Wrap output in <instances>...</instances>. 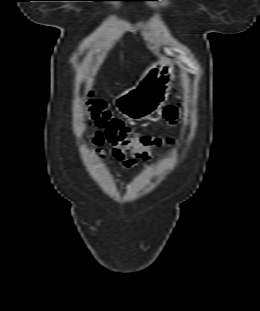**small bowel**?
<instances>
[{
	"mask_svg": "<svg viewBox=\"0 0 260 311\" xmlns=\"http://www.w3.org/2000/svg\"><path fill=\"white\" fill-rule=\"evenodd\" d=\"M137 163H138L137 160L134 159V158L126 159L122 163V167H121V170L118 173V176L121 177L125 170H128V169H131V168L135 167L137 165Z\"/></svg>",
	"mask_w": 260,
	"mask_h": 311,
	"instance_id": "c3829d8e",
	"label": "small bowel"
}]
</instances>
